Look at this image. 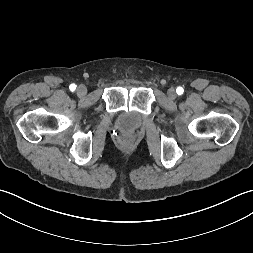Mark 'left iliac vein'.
<instances>
[{
  "label": "left iliac vein",
  "mask_w": 253,
  "mask_h": 253,
  "mask_svg": "<svg viewBox=\"0 0 253 253\" xmlns=\"http://www.w3.org/2000/svg\"><path fill=\"white\" fill-rule=\"evenodd\" d=\"M167 95H168V97H169L170 99H175L176 96H177V95H176V91H175L174 88L168 89Z\"/></svg>",
  "instance_id": "4c4485c4"
}]
</instances>
